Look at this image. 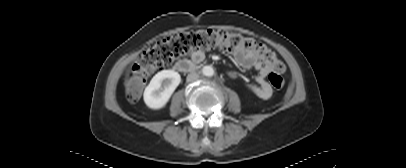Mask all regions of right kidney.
<instances>
[{
  "mask_svg": "<svg viewBox=\"0 0 406 168\" xmlns=\"http://www.w3.org/2000/svg\"><path fill=\"white\" fill-rule=\"evenodd\" d=\"M181 82L178 72L162 70L150 81L144 91V102L151 109H161Z\"/></svg>",
  "mask_w": 406,
  "mask_h": 168,
  "instance_id": "right-kidney-1",
  "label": "right kidney"
}]
</instances>
